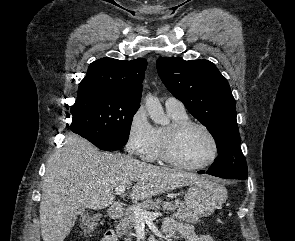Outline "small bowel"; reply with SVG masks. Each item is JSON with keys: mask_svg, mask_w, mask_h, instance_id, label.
<instances>
[{"mask_svg": "<svg viewBox=\"0 0 295 241\" xmlns=\"http://www.w3.org/2000/svg\"><path fill=\"white\" fill-rule=\"evenodd\" d=\"M163 231L166 234H178L184 241H212L210 236L198 233L188 223L173 218H166L163 223ZM102 241H117L113 232H107Z\"/></svg>", "mask_w": 295, "mask_h": 241, "instance_id": "small-bowel-1", "label": "small bowel"}]
</instances>
